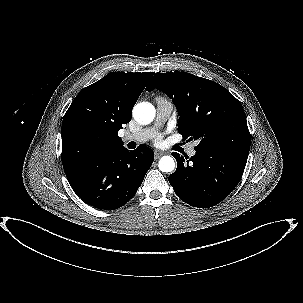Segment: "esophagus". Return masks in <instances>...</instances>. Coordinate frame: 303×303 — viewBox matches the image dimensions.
Returning <instances> with one entry per match:
<instances>
[{"label": "esophagus", "mask_w": 303, "mask_h": 303, "mask_svg": "<svg viewBox=\"0 0 303 303\" xmlns=\"http://www.w3.org/2000/svg\"><path fill=\"white\" fill-rule=\"evenodd\" d=\"M154 154H155V158L158 159V158H160L164 153H163L162 151L155 150V151H154Z\"/></svg>", "instance_id": "34e87169"}]
</instances>
